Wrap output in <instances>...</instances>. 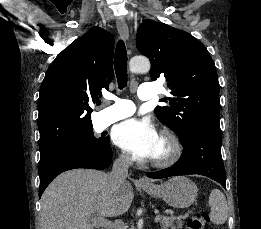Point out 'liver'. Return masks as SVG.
Returning a JSON list of instances; mask_svg holds the SVG:
<instances>
[{
	"label": "liver",
	"instance_id": "liver-1",
	"mask_svg": "<svg viewBox=\"0 0 261 229\" xmlns=\"http://www.w3.org/2000/svg\"><path fill=\"white\" fill-rule=\"evenodd\" d=\"M134 193L125 181L114 191L107 173L73 169L56 177L44 191L41 229H93L105 217H119L131 207Z\"/></svg>",
	"mask_w": 261,
	"mask_h": 229
}]
</instances>
